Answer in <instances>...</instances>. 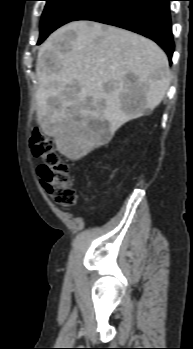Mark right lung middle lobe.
Returning <instances> with one entry per match:
<instances>
[{
  "label": "right lung middle lobe",
  "instance_id": "dd1d6c3e",
  "mask_svg": "<svg viewBox=\"0 0 193 349\" xmlns=\"http://www.w3.org/2000/svg\"><path fill=\"white\" fill-rule=\"evenodd\" d=\"M46 6L40 24L38 45L58 27L73 21L81 12L97 0H45Z\"/></svg>",
  "mask_w": 193,
  "mask_h": 349
}]
</instances>
